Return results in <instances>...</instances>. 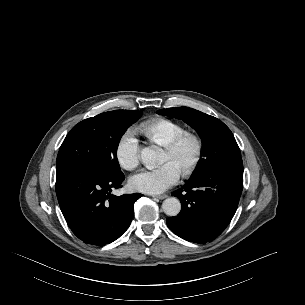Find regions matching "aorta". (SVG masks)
<instances>
[{"label": "aorta", "instance_id": "762f6f07", "mask_svg": "<svg viewBox=\"0 0 305 305\" xmlns=\"http://www.w3.org/2000/svg\"><path fill=\"white\" fill-rule=\"evenodd\" d=\"M141 159L149 165H159L162 163V149L157 146L145 147L141 151ZM162 209L170 217L180 213L181 203L175 197L167 198L163 201Z\"/></svg>", "mask_w": 305, "mask_h": 305}]
</instances>
